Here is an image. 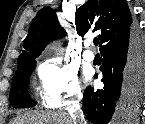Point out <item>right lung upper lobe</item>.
Segmentation results:
<instances>
[{
  "label": "right lung upper lobe",
  "mask_w": 145,
  "mask_h": 124,
  "mask_svg": "<svg viewBox=\"0 0 145 124\" xmlns=\"http://www.w3.org/2000/svg\"><path fill=\"white\" fill-rule=\"evenodd\" d=\"M75 24L78 34L82 37L88 32L99 30L101 47L110 38L130 27L132 16L126 0H88L78 8ZM65 34L54 10L50 7L42 8L33 19L28 35L23 41L24 50L17 60V71L35 62L34 59L50 41Z\"/></svg>",
  "instance_id": "right-lung-upper-lobe-1"
}]
</instances>
